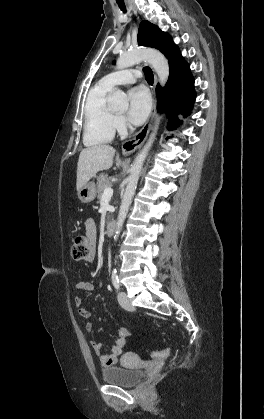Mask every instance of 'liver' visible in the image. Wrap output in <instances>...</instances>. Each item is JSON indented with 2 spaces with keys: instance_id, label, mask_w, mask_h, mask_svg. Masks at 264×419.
<instances>
[{
  "instance_id": "1",
  "label": "liver",
  "mask_w": 264,
  "mask_h": 419,
  "mask_svg": "<svg viewBox=\"0 0 264 419\" xmlns=\"http://www.w3.org/2000/svg\"><path fill=\"white\" fill-rule=\"evenodd\" d=\"M115 149L106 144L95 145L81 151L77 164V191L99 171L108 170L113 165Z\"/></svg>"
}]
</instances>
